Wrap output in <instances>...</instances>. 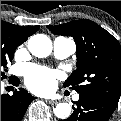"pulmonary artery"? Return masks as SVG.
<instances>
[{
  "mask_svg": "<svg viewBox=\"0 0 121 121\" xmlns=\"http://www.w3.org/2000/svg\"><path fill=\"white\" fill-rule=\"evenodd\" d=\"M76 51V43L72 39L64 38V37H57L53 42V52L54 56L57 59H65ZM74 101H78L80 96L79 94L75 93L72 96Z\"/></svg>",
  "mask_w": 121,
  "mask_h": 121,
  "instance_id": "obj_1",
  "label": "pulmonary artery"
}]
</instances>
